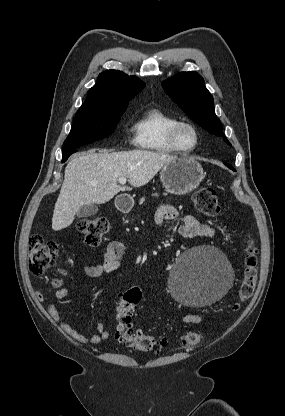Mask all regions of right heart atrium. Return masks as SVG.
<instances>
[{
    "label": "right heart atrium",
    "mask_w": 285,
    "mask_h": 416,
    "mask_svg": "<svg viewBox=\"0 0 285 416\" xmlns=\"http://www.w3.org/2000/svg\"><path fill=\"white\" fill-rule=\"evenodd\" d=\"M132 140V142H135V140L134 139H131Z\"/></svg>",
    "instance_id": "right-heart-atrium-1"
}]
</instances>
